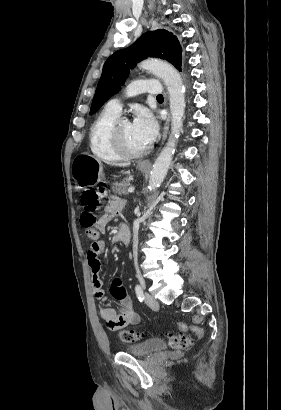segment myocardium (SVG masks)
Masks as SVG:
<instances>
[{
    "instance_id": "myocardium-1",
    "label": "myocardium",
    "mask_w": 281,
    "mask_h": 410,
    "mask_svg": "<svg viewBox=\"0 0 281 410\" xmlns=\"http://www.w3.org/2000/svg\"><path fill=\"white\" fill-rule=\"evenodd\" d=\"M125 117H118L115 122L113 123L111 130H110V140L114 146V148L125 158H137L145 155L149 148L145 147L141 150H133L130 149L126 143L124 142L121 134H120V125L123 121H126Z\"/></svg>"
}]
</instances>
